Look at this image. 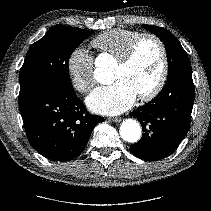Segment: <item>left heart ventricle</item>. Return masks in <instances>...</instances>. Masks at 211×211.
<instances>
[{"label": "left heart ventricle", "mask_w": 211, "mask_h": 211, "mask_svg": "<svg viewBox=\"0 0 211 211\" xmlns=\"http://www.w3.org/2000/svg\"><path fill=\"white\" fill-rule=\"evenodd\" d=\"M160 72V49L154 41L146 39L139 45L130 65L126 67L116 65L114 67L112 81H127L139 96L154 87Z\"/></svg>", "instance_id": "b2bd125f"}]
</instances>
